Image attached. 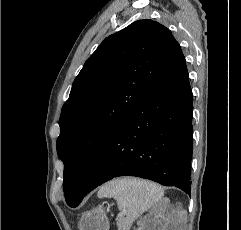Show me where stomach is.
<instances>
[{"label":"stomach","mask_w":241,"mask_h":230,"mask_svg":"<svg viewBox=\"0 0 241 230\" xmlns=\"http://www.w3.org/2000/svg\"><path fill=\"white\" fill-rule=\"evenodd\" d=\"M109 219L103 205L84 213L79 221L80 230H109Z\"/></svg>","instance_id":"0dacf381"}]
</instances>
